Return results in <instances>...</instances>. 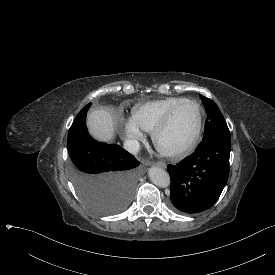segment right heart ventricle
<instances>
[{"label":"right heart ventricle","mask_w":275,"mask_h":275,"mask_svg":"<svg viewBox=\"0 0 275 275\" xmlns=\"http://www.w3.org/2000/svg\"><path fill=\"white\" fill-rule=\"evenodd\" d=\"M185 100L182 97H168L149 101L133 107L130 120L141 130L151 133L165 117L167 112L177 103Z\"/></svg>","instance_id":"obj_1"}]
</instances>
